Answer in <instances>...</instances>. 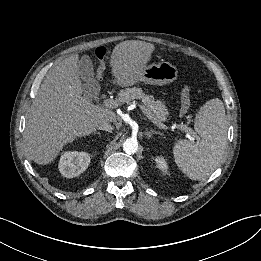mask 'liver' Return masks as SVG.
I'll return each instance as SVG.
<instances>
[{
    "label": "liver",
    "mask_w": 261,
    "mask_h": 261,
    "mask_svg": "<svg viewBox=\"0 0 261 261\" xmlns=\"http://www.w3.org/2000/svg\"><path fill=\"white\" fill-rule=\"evenodd\" d=\"M155 46L128 40L114 47L110 67L118 84L125 85L141 73ZM78 55L50 69L32 102L25 127L30 158L37 164L51 163L76 137L93 133L102 122L116 121L115 113L82 96Z\"/></svg>",
    "instance_id": "6515ba94"
}]
</instances>
